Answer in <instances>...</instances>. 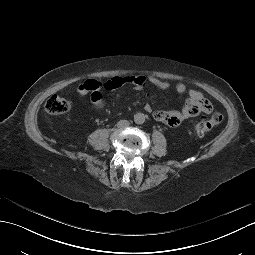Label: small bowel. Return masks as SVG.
<instances>
[{
    "label": "small bowel",
    "instance_id": "c3829d8e",
    "mask_svg": "<svg viewBox=\"0 0 255 255\" xmlns=\"http://www.w3.org/2000/svg\"><path fill=\"white\" fill-rule=\"evenodd\" d=\"M153 86L161 90H167L171 84L168 81L160 80L157 77L142 75L137 76H116L104 83L89 79L77 87V92L82 96H89L92 104L97 107L104 106L101 90H117L124 86H132L136 90H142L146 86ZM175 91L178 94H186L185 103L181 111H160L153 110L149 104L144 105V110L152 114L153 118L170 127H177L189 118L198 116L200 113L210 114L213 110L211 102L202 93L194 89H188L184 83H177ZM120 99V95L117 96Z\"/></svg>",
    "mask_w": 255,
    "mask_h": 255
}]
</instances>
